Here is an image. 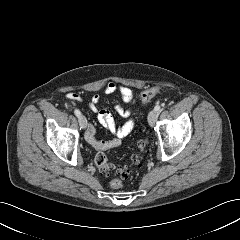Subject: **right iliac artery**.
Here are the masks:
<instances>
[{"label":"right iliac artery","mask_w":240,"mask_h":240,"mask_svg":"<svg viewBox=\"0 0 240 240\" xmlns=\"http://www.w3.org/2000/svg\"><path fill=\"white\" fill-rule=\"evenodd\" d=\"M74 114L79 117L81 115V112L78 109L74 110Z\"/></svg>","instance_id":"obj_1"}]
</instances>
